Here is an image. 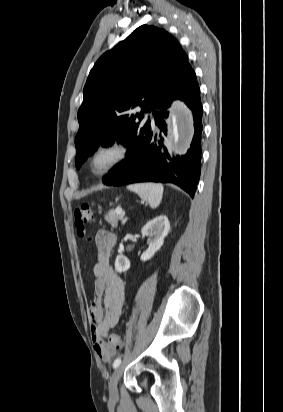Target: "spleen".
Here are the masks:
<instances>
[{"label": "spleen", "instance_id": "1", "mask_svg": "<svg viewBox=\"0 0 283 412\" xmlns=\"http://www.w3.org/2000/svg\"><path fill=\"white\" fill-rule=\"evenodd\" d=\"M127 189L137 193L152 209L160 205L164 191L163 185L159 183H137L127 186Z\"/></svg>", "mask_w": 283, "mask_h": 412}]
</instances>
